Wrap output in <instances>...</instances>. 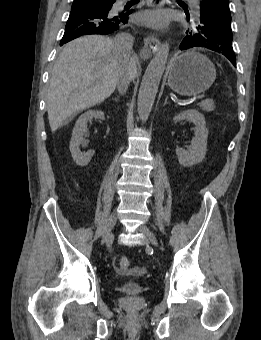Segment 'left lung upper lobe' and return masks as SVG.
<instances>
[{"label": "left lung upper lobe", "mask_w": 261, "mask_h": 340, "mask_svg": "<svg viewBox=\"0 0 261 340\" xmlns=\"http://www.w3.org/2000/svg\"><path fill=\"white\" fill-rule=\"evenodd\" d=\"M228 1V0H225ZM210 21H199L196 23V29L187 32V36L197 38L199 46L205 47L216 52L222 53L224 50L232 48V30L231 19H228L223 13H217Z\"/></svg>", "instance_id": "5c2ea615"}]
</instances>
